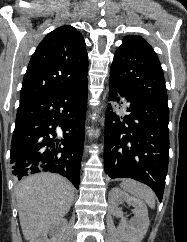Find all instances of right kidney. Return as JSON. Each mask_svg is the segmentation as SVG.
<instances>
[{
    "label": "right kidney",
    "mask_w": 187,
    "mask_h": 242,
    "mask_svg": "<svg viewBox=\"0 0 187 242\" xmlns=\"http://www.w3.org/2000/svg\"><path fill=\"white\" fill-rule=\"evenodd\" d=\"M66 227L67 220L62 218L39 234L34 242H60ZM47 235L50 236V239L47 238Z\"/></svg>",
    "instance_id": "ca27d5eb"
}]
</instances>
